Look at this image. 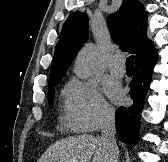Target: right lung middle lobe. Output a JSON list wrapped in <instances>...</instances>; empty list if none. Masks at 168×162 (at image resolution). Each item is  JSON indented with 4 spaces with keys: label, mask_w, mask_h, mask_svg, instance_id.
Listing matches in <instances>:
<instances>
[{
    "label": "right lung middle lobe",
    "mask_w": 168,
    "mask_h": 162,
    "mask_svg": "<svg viewBox=\"0 0 168 162\" xmlns=\"http://www.w3.org/2000/svg\"><path fill=\"white\" fill-rule=\"evenodd\" d=\"M59 81L54 82L49 84V91H48V102H49V106L50 108L53 107V100H54V86L57 85Z\"/></svg>",
    "instance_id": "right-lung-middle-lobe-1"
}]
</instances>
